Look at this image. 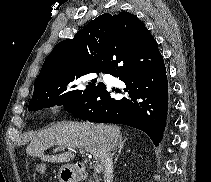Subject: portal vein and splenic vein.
I'll use <instances>...</instances> for the list:
<instances>
[{
	"label": "portal vein and splenic vein",
	"instance_id": "obj_1",
	"mask_svg": "<svg viewBox=\"0 0 211 182\" xmlns=\"http://www.w3.org/2000/svg\"><path fill=\"white\" fill-rule=\"evenodd\" d=\"M79 151H80L81 154H84V153H85L83 149H80ZM94 167H95V171H96L97 173H100V172H101V170H102V169H101V165L95 164Z\"/></svg>",
	"mask_w": 211,
	"mask_h": 182
}]
</instances>
